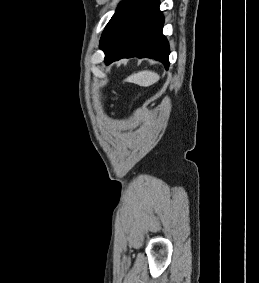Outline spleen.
Here are the masks:
<instances>
[{
    "label": "spleen",
    "instance_id": "obj_1",
    "mask_svg": "<svg viewBox=\"0 0 259 283\" xmlns=\"http://www.w3.org/2000/svg\"><path fill=\"white\" fill-rule=\"evenodd\" d=\"M158 79L159 75L157 73H154L152 71H141L129 76L126 81L147 87L156 83Z\"/></svg>",
    "mask_w": 259,
    "mask_h": 283
}]
</instances>
